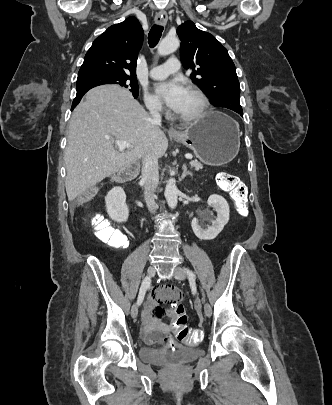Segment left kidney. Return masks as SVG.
Instances as JSON below:
<instances>
[{
    "mask_svg": "<svg viewBox=\"0 0 332 405\" xmlns=\"http://www.w3.org/2000/svg\"><path fill=\"white\" fill-rule=\"evenodd\" d=\"M208 205L217 213L216 219L212 218V212H204L202 216L211 221V225L204 229L203 223L193 218L191 226L195 235L201 240H213L223 230L229 221V205L220 195H211L208 198Z\"/></svg>",
    "mask_w": 332,
    "mask_h": 405,
    "instance_id": "1",
    "label": "left kidney"
}]
</instances>
